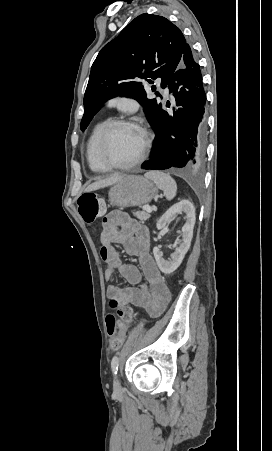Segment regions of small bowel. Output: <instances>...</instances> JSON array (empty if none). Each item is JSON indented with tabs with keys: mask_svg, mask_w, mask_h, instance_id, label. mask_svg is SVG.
I'll return each mask as SVG.
<instances>
[{
	"mask_svg": "<svg viewBox=\"0 0 272 451\" xmlns=\"http://www.w3.org/2000/svg\"><path fill=\"white\" fill-rule=\"evenodd\" d=\"M100 242V257L106 264L105 280L111 281L119 273L130 284L110 285L107 295L112 302L121 307L145 308L151 315L164 311L171 295L151 254L148 228L123 212L111 211L103 219ZM115 244L122 245L127 254L137 257L138 266L124 263Z\"/></svg>",
	"mask_w": 272,
	"mask_h": 451,
	"instance_id": "c3829d8e",
	"label": "small bowel"
}]
</instances>
